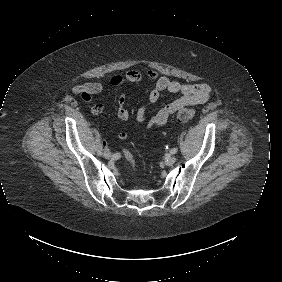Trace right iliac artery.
<instances>
[{
    "label": "right iliac artery",
    "mask_w": 282,
    "mask_h": 282,
    "mask_svg": "<svg viewBox=\"0 0 282 282\" xmlns=\"http://www.w3.org/2000/svg\"><path fill=\"white\" fill-rule=\"evenodd\" d=\"M98 154H99V155H102V152H101V151H99V152H98Z\"/></svg>",
    "instance_id": "82829eb1"
}]
</instances>
